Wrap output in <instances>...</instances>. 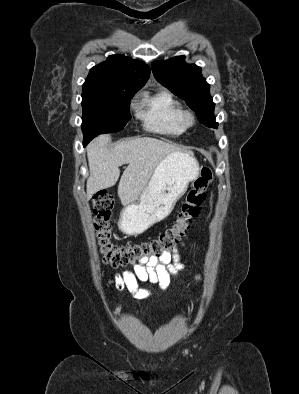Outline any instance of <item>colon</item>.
<instances>
[{
	"mask_svg": "<svg viewBox=\"0 0 299 394\" xmlns=\"http://www.w3.org/2000/svg\"><path fill=\"white\" fill-rule=\"evenodd\" d=\"M213 180L210 168H202L189 189L173 223L156 236L127 245H115L111 241L109 220L114 207V198L106 193H97L92 201L94 230L97 246L104 263L112 267L133 265L150 258H161L175 248L185 236L192 220L199 215L200 206L206 198V190Z\"/></svg>",
	"mask_w": 299,
	"mask_h": 394,
	"instance_id": "5ec220e1",
	"label": "colon"
}]
</instances>
